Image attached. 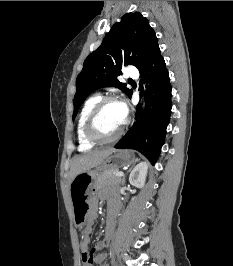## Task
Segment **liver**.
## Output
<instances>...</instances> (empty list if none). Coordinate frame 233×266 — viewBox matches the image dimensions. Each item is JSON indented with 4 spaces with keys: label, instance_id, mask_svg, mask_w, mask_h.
I'll list each match as a JSON object with an SVG mask.
<instances>
[{
    "label": "liver",
    "instance_id": "liver-1",
    "mask_svg": "<svg viewBox=\"0 0 233 266\" xmlns=\"http://www.w3.org/2000/svg\"><path fill=\"white\" fill-rule=\"evenodd\" d=\"M113 151L114 149L95 150L75 156L68 176L69 183H71L76 175L99 166Z\"/></svg>",
    "mask_w": 233,
    "mask_h": 266
}]
</instances>
